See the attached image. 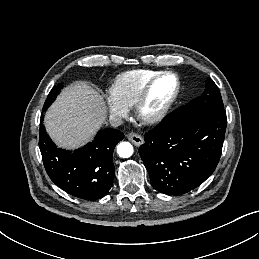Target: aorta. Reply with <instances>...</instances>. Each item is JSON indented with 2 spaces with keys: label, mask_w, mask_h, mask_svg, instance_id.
<instances>
[{
  "label": "aorta",
  "mask_w": 259,
  "mask_h": 259,
  "mask_svg": "<svg viewBox=\"0 0 259 259\" xmlns=\"http://www.w3.org/2000/svg\"><path fill=\"white\" fill-rule=\"evenodd\" d=\"M117 153L120 157L128 158L133 154V146L129 142H121L117 146Z\"/></svg>",
  "instance_id": "1"
}]
</instances>
